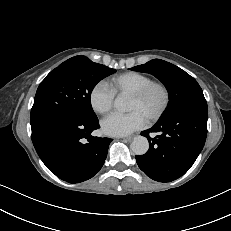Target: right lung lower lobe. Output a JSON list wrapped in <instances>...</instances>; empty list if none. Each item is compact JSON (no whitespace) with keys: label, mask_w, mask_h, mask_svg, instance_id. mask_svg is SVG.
Wrapping results in <instances>:
<instances>
[{"label":"right lung lower lobe","mask_w":231,"mask_h":231,"mask_svg":"<svg viewBox=\"0 0 231 231\" xmlns=\"http://www.w3.org/2000/svg\"><path fill=\"white\" fill-rule=\"evenodd\" d=\"M98 119L61 117L38 134L32 133L33 145L45 166L69 183L92 178L103 166L112 139L91 136Z\"/></svg>","instance_id":"right-lung-lower-lobe-1"}]
</instances>
